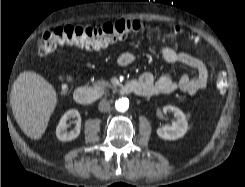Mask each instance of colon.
<instances>
[{
	"label": "colon",
	"instance_id": "1",
	"mask_svg": "<svg viewBox=\"0 0 245 187\" xmlns=\"http://www.w3.org/2000/svg\"><path fill=\"white\" fill-rule=\"evenodd\" d=\"M147 25L138 20H119L106 23L100 27H73L66 26L56 28L44 33L37 42V51L40 55L53 52L61 46H77L89 49H98L108 44L123 40L133 33L144 31ZM176 33H180L179 27L175 28ZM191 39H195L190 35ZM62 82L61 94L68 92L67 84L71 77L67 74L61 75ZM217 86L224 88L226 81L223 75L217 76Z\"/></svg>",
	"mask_w": 245,
	"mask_h": 187
}]
</instances>
